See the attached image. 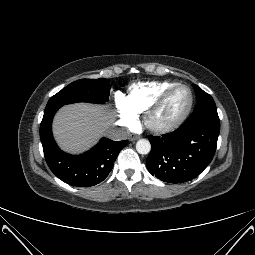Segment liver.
I'll use <instances>...</instances> for the list:
<instances>
[{
	"instance_id": "6515ba94",
	"label": "liver",
	"mask_w": 255,
	"mask_h": 255,
	"mask_svg": "<svg viewBox=\"0 0 255 255\" xmlns=\"http://www.w3.org/2000/svg\"><path fill=\"white\" fill-rule=\"evenodd\" d=\"M114 113L102 105L78 103L66 105L56 114L53 134L59 146L70 153L89 149L107 133Z\"/></svg>"
}]
</instances>
